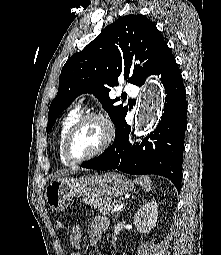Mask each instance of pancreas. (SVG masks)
<instances>
[{"label":"pancreas","instance_id":"pancreas-1","mask_svg":"<svg viewBox=\"0 0 221 255\" xmlns=\"http://www.w3.org/2000/svg\"><path fill=\"white\" fill-rule=\"evenodd\" d=\"M119 204L118 201L112 200L110 197L106 198H98L90 202V205L94 207V209L99 210V212L103 215L113 214V208Z\"/></svg>","mask_w":221,"mask_h":255}]
</instances>
